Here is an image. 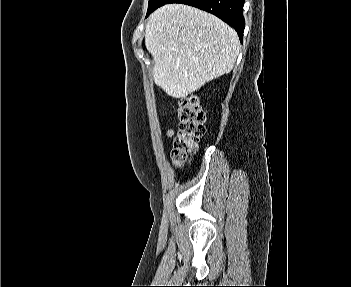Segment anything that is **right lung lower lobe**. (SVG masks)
<instances>
[{
    "label": "right lung lower lobe",
    "mask_w": 351,
    "mask_h": 287,
    "mask_svg": "<svg viewBox=\"0 0 351 287\" xmlns=\"http://www.w3.org/2000/svg\"><path fill=\"white\" fill-rule=\"evenodd\" d=\"M169 3L190 5L217 16L236 30L242 42L245 28L244 0H161L155 9Z\"/></svg>",
    "instance_id": "98d812e1"
}]
</instances>
